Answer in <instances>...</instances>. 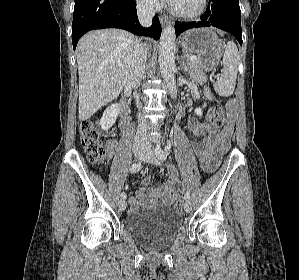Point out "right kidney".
I'll use <instances>...</instances> for the list:
<instances>
[{
    "mask_svg": "<svg viewBox=\"0 0 299 280\" xmlns=\"http://www.w3.org/2000/svg\"><path fill=\"white\" fill-rule=\"evenodd\" d=\"M118 114H119V107L117 104H111L109 107H107L100 120L101 128L105 131L110 129L114 125L118 117Z\"/></svg>",
    "mask_w": 299,
    "mask_h": 280,
    "instance_id": "obj_1",
    "label": "right kidney"
}]
</instances>
